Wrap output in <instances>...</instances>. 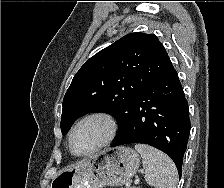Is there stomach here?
<instances>
[{
  "label": "stomach",
  "mask_w": 224,
  "mask_h": 188,
  "mask_svg": "<svg viewBox=\"0 0 224 188\" xmlns=\"http://www.w3.org/2000/svg\"><path fill=\"white\" fill-rule=\"evenodd\" d=\"M140 165L130 147L104 149L70 169L59 172L49 188H103L128 182Z\"/></svg>",
  "instance_id": "1"
}]
</instances>
